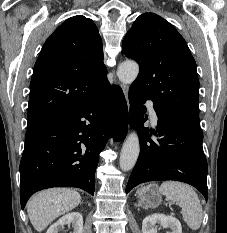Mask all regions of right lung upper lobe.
<instances>
[{"instance_id": "1", "label": "right lung upper lobe", "mask_w": 227, "mask_h": 233, "mask_svg": "<svg viewBox=\"0 0 227 233\" xmlns=\"http://www.w3.org/2000/svg\"><path fill=\"white\" fill-rule=\"evenodd\" d=\"M109 82L94 22L74 16L44 43L30 83L28 127H36L101 92Z\"/></svg>"}]
</instances>
